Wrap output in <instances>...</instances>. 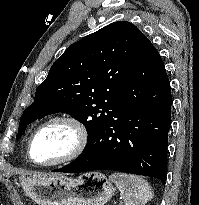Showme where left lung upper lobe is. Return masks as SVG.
I'll list each match as a JSON object with an SVG mask.
<instances>
[{"mask_svg": "<svg viewBox=\"0 0 199 205\" xmlns=\"http://www.w3.org/2000/svg\"><path fill=\"white\" fill-rule=\"evenodd\" d=\"M144 37L132 23L119 21L69 46L36 89L34 102L20 118L16 138L28 124L45 115L68 113L85 125L88 143L82 154L65 167L79 160L100 133Z\"/></svg>", "mask_w": 199, "mask_h": 205, "instance_id": "5c2ea615", "label": "left lung upper lobe"}]
</instances>
